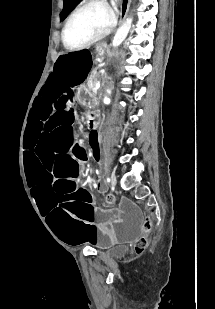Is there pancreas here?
<instances>
[{
	"instance_id": "pancreas-1",
	"label": "pancreas",
	"mask_w": 215,
	"mask_h": 309,
	"mask_svg": "<svg viewBox=\"0 0 215 309\" xmlns=\"http://www.w3.org/2000/svg\"><path fill=\"white\" fill-rule=\"evenodd\" d=\"M96 82H97V80H94V78H89V80L87 82L88 88H91V90H93ZM94 94H96V92H94Z\"/></svg>"
}]
</instances>
